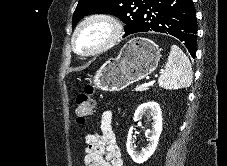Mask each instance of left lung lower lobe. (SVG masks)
Listing matches in <instances>:
<instances>
[{
  "mask_svg": "<svg viewBox=\"0 0 227 166\" xmlns=\"http://www.w3.org/2000/svg\"><path fill=\"white\" fill-rule=\"evenodd\" d=\"M148 31L178 38L194 58L197 22L192 0H147L135 33Z\"/></svg>",
  "mask_w": 227,
  "mask_h": 166,
  "instance_id": "1",
  "label": "left lung lower lobe"
}]
</instances>
